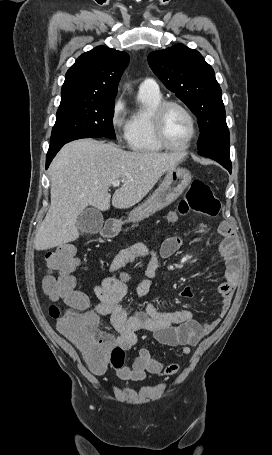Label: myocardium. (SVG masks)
Here are the masks:
<instances>
[{
	"label": "myocardium",
	"mask_w": 272,
	"mask_h": 455,
	"mask_svg": "<svg viewBox=\"0 0 272 455\" xmlns=\"http://www.w3.org/2000/svg\"><path fill=\"white\" fill-rule=\"evenodd\" d=\"M171 107H176L182 110L188 117L190 124H191V135L187 142H185L183 145H173L171 144L166 135H165V130H164V117L167 112V110ZM151 124H152V130L154 137L156 141L165 149L171 150V151H184L188 149L194 140L197 137L198 134V125L196 118L192 111L183 103L175 100H163L161 101L153 110L152 115H151Z\"/></svg>",
	"instance_id": "obj_1"
}]
</instances>
